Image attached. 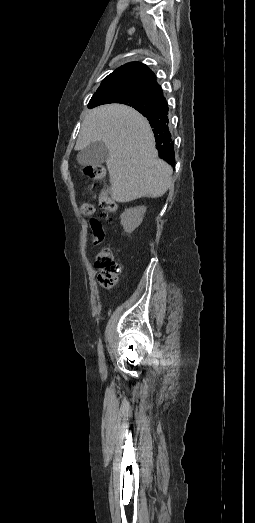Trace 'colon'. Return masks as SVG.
I'll return each instance as SVG.
<instances>
[{"label": "colon", "mask_w": 255, "mask_h": 523, "mask_svg": "<svg viewBox=\"0 0 255 523\" xmlns=\"http://www.w3.org/2000/svg\"><path fill=\"white\" fill-rule=\"evenodd\" d=\"M85 174L93 181L105 182L107 170L103 165H93L85 169ZM98 200L105 217L116 212L117 205L106 187L101 190ZM80 211L84 216L91 217L95 213V205L85 202L81 205ZM95 267L98 269V280L102 287L111 288L117 282L119 266L110 248L104 247L98 252Z\"/></svg>", "instance_id": "5ec220e1"}]
</instances>
